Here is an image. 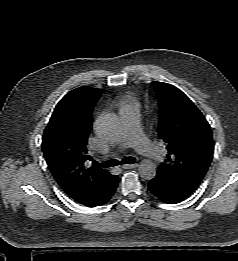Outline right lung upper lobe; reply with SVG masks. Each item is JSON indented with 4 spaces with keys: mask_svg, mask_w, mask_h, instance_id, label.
<instances>
[{
    "mask_svg": "<svg viewBox=\"0 0 238 261\" xmlns=\"http://www.w3.org/2000/svg\"><path fill=\"white\" fill-rule=\"evenodd\" d=\"M101 92L89 86L69 92L57 104L43 134L42 150L50 172L78 203L99 192L111 175L100 167H88L92 111Z\"/></svg>",
    "mask_w": 238,
    "mask_h": 261,
    "instance_id": "cb5924a9",
    "label": "right lung upper lobe"
}]
</instances>
